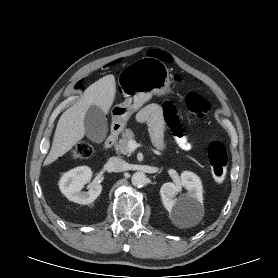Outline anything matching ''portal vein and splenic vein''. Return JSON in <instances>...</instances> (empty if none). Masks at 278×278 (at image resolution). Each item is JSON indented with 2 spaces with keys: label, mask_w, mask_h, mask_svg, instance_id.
<instances>
[{
  "label": "portal vein and splenic vein",
  "mask_w": 278,
  "mask_h": 278,
  "mask_svg": "<svg viewBox=\"0 0 278 278\" xmlns=\"http://www.w3.org/2000/svg\"><path fill=\"white\" fill-rule=\"evenodd\" d=\"M137 147H138V144L135 140H130L128 142V151L129 152H133L134 150H136Z\"/></svg>",
  "instance_id": "18ae733b"
}]
</instances>
